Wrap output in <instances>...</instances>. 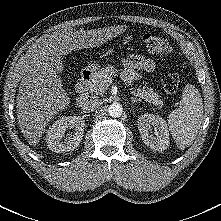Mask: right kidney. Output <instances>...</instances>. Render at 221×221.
<instances>
[{
  "instance_id": "1",
  "label": "right kidney",
  "mask_w": 221,
  "mask_h": 221,
  "mask_svg": "<svg viewBox=\"0 0 221 221\" xmlns=\"http://www.w3.org/2000/svg\"><path fill=\"white\" fill-rule=\"evenodd\" d=\"M73 134H69L63 140L66 130L74 128ZM85 121L80 116H67L55 121L49 127L46 135L47 146L56 153L74 150L82 140Z\"/></svg>"
}]
</instances>
